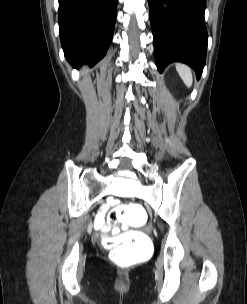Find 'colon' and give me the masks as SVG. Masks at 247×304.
<instances>
[{
	"label": "colon",
	"instance_id": "colon-1",
	"mask_svg": "<svg viewBox=\"0 0 247 304\" xmlns=\"http://www.w3.org/2000/svg\"><path fill=\"white\" fill-rule=\"evenodd\" d=\"M107 221L109 230L116 226L115 219H119L120 225H148L149 214L144 210L142 202H124L123 206H113L108 210ZM109 234V231H106ZM99 244H102V253H110L112 261L116 263H128L138 259H152L155 241L143 233L142 229H127L120 243L116 244L115 237H99Z\"/></svg>",
	"mask_w": 247,
	"mask_h": 304
}]
</instances>
